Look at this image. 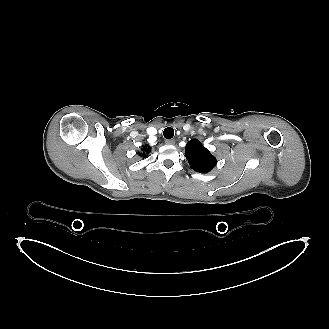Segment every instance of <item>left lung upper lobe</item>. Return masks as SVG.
I'll return each mask as SVG.
<instances>
[{"label":"left lung upper lobe","mask_w":329,"mask_h":329,"mask_svg":"<svg viewBox=\"0 0 329 329\" xmlns=\"http://www.w3.org/2000/svg\"><path fill=\"white\" fill-rule=\"evenodd\" d=\"M185 155L191 168L200 173L211 171L216 164V158L197 139L187 143Z\"/></svg>","instance_id":"5c2ea615"}]
</instances>
